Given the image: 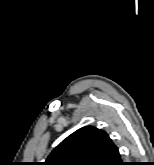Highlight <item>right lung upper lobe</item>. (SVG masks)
<instances>
[{"label": "right lung upper lobe", "instance_id": "obj_1", "mask_svg": "<svg viewBox=\"0 0 154 165\" xmlns=\"http://www.w3.org/2000/svg\"><path fill=\"white\" fill-rule=\"evenodd\" d=\"M118 156L117 147L105 131L86 126L64 139L44 165H112Z\"/></svg>", "mask_w": 154, "mask_h": 165}]
</instances>
